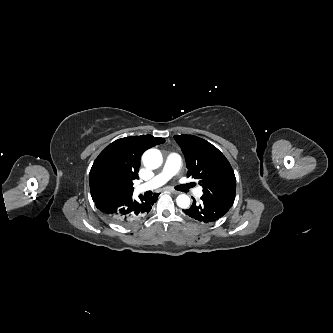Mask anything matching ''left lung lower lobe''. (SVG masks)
I'll use <instances>...</instances> for the list:
<instances>
[{
    "instance_id": "obj_1",
    "label": "left lung lower lobe",
    "mask_w": 333,
    "mask_h": 333,
    "mask_svg": "<svg viewBox=\"0 0 333 333\" xmlns=\"http://www.w3.org/2000/svg\"><path fill=\"white\" fill-rule=\"evenodd\" d=\"M233 204L228 201L211 198L203 195L201 202L196 203L195 199L189 209L183 210L191 218L204 222H215L224 216Z\"/></svg>"
}]
</instances>
